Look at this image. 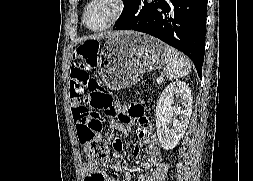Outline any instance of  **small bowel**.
Masks as SVG:
<instances>
[{
	"label": "small bowel",
	"mask_w": 253,
	"mask_h": 181,
	"mask_svg": "<svg viewBox=\"0 0 253 181\" xmlns=\"http://www.w3.org/2000/svg\"><path fill=\"white\" fill-rule=\"evenodd\" d=\"M94 65V60H75L70 73V97L72 99V112L74 109L73 98L87 92L90 82L89 73ZM119 123L115 126V131L109 133V139L117 144L118 134L128 125L138 127L137 143L132 147L131 154L133 158L142 157L141 166L152 170L160 166L162 154L157 144L155 135L151 132L148 121L144 118V107L139 104L119 105ZM74 114V112H73ZM146 148L145 155L142 156V147ZM114 171L122 173L125 181H131L132 172L123 168L117 158H111L106 161L103 167H91L88 163L84 166L85 181H116L108 178L106 172ZM90 176V177H89ZM152 180V174L146 173L140 177V181Z\"/></svg>",
	"instance_id": "1"
}]
</instances>
